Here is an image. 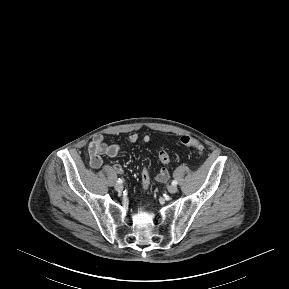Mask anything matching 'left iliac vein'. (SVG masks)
Here are the masks:
<instances>
[{
	"label": "left iliac vein",
	"instance_id": "1",
	"mask_svg": "<svg viewBox=\"0 0 289 289\" xmlns=\"http://www.w3.org/2000/svg\"><path fill=\"white\" fill-rule=\"evenodd\" d=\"M168 191H169L170 193L174 194V193H176V192L178 191V188H177L176 185H170V186L168 187Z\"/></svg>",
	"mask_w": 289,
	"mask_h": 289
}]
</instances>
